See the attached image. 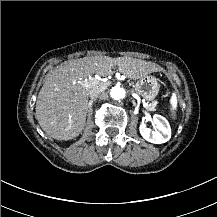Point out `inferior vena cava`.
Returning a JSON list of instances; mask_svg holds the SVG:
<instances>
[{
  "label": "inferior vena cava",
  "instance_id": "inferior-vena-cava-1",
  "mask_svg": "<svg viewBox=\"0 0 217 217\" xmlns=\"http://www.w3.org/2000/svg\"><path fill=\"white\" fill-rule=\"evenodd\" d=\"M107 88L105 83H100L89 90L90 97L96 98L101 92H103Z\"/></svg>",
  "mask_w": 217,
  "mask_h": 217
}]
</instances>
